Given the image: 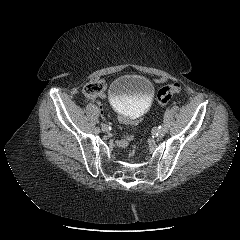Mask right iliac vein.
<instances>
[{"mask_svg": "<svg viewBox=\"0 0 240 240\" xmlns=\"http://www.w3.org/2000/svg\"><path fill=\"white\" fill-rule=\"evenodd\" d=\"M101 129H102L103 132H107L108 131V126L106 124H103Z\"/></svg>", "mask_w": 240, "mask_h": 240, "instance_id": "obj_1", "label": "right iliac vein"}]
</instances>
